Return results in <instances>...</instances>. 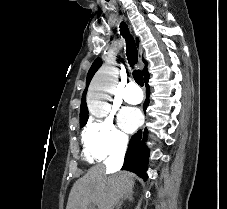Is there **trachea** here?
I'll return each instance as SVG.
<instances>
[{
	"label": "trachea",
	"instance_id": "3493384b",
	"mask_svg": "<svg viewBox=\"0 0 227 209\" xmlns=\"http://www.w3.org/2000/svg\"><path fill=\"white\" fill-rule=\"evenodd\" d=\"M120 33L126 40V55H127L128 63L134 69V66L138 60V52H137V47H136L134 38L129 33L128 26L125 22H121L120 24ZM133 77L135 79V82L138 85L143 86L144 81H143L141 70L134 69Z\"/></svg>",
	"mask_w": 227,
	"mask_h": 209
}]
</instances>
